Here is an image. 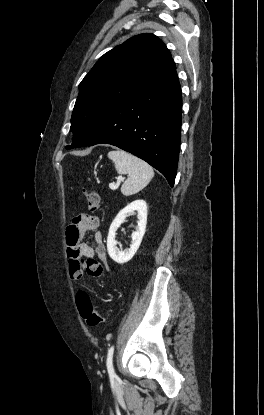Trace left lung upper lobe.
I'll return each mask as SVG.
<instances>
[{
	"label": "left lung upper lobe",
	"mask_w": 264,
	"mask_h": 415,
	"mask_svg": "<svg viewBox=\"0 0 264 415\" xmlns=\"http://www.w3.org/2000/svg\"><path fill=\"white\" fill-rule=\"evenodd\" d=\"M176 69L166 45L145 33L105 53L79 84L72 117L73 146L80 147L123 99Z\"/></svg>",
	"instance_id": "5c2ea615"
}]
</instances>
